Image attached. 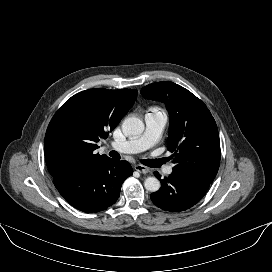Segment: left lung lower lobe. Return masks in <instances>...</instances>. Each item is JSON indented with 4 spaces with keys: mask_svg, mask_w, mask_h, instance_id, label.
Segmentation results:
<instances>
[{
    "mask_svg": "<svg viewBox=\"0 0 272 272\" xmlns=\"http://www.w3.org/2000/svg\"><path fill=\"white\" fill-rule=\"evenodd\" d=\"M154 174L160 179L158 172ZM160 181L162 187L151 194V200L157 207L171 212L185 211L197 204L211 184L175 170Z\"/></svg>",
    "mask_w": 272,
    "mask_h": 272,
    "instance_id": "0a47b994",
    "label": "left lung lower lobe"
}]
</instances>
